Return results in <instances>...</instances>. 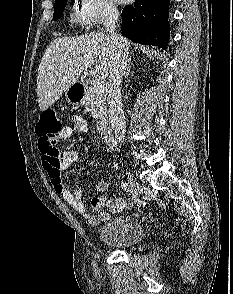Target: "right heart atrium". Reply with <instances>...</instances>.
<instances>
[{
	"label": "right heart atrium",
	"mask_w": 233,
	"mask_h": 294,
	"mask_svg": "<svg viewBox=\"0 0 233 294\" xmlns=\"http://www.w3.org/2000/svg\"><path fill=\"white\" fill-rule=\"evenodd\" d=\"M78 11L88 28H99L119 15L113 0H80Z\"/></svg>",
	"instance_id": "right-heart-atrium-1"
}]
</instances>
